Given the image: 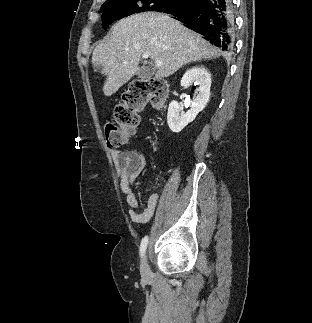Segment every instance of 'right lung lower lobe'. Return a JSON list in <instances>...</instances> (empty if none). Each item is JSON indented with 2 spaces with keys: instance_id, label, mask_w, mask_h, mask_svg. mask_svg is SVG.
Wrapping results in <instances>:
<instances>
[{
  "instance_id": "98d812e1",
  "label": "right lung lower lobe",
  "mask_w": 312,
  "mask_h": 323,
  "mask_svg": "<svg viewBox=\"0 0 312 323\" xmlns=\"http://www.w3.org/2000/svg\"><path fill=\"white\" fill-rule=\"evenodd\" d=\"M233 5L231 0H183L161 12L173 15L211 44L230 52L234 47Z\"/></svg>"
}]
</instances>
